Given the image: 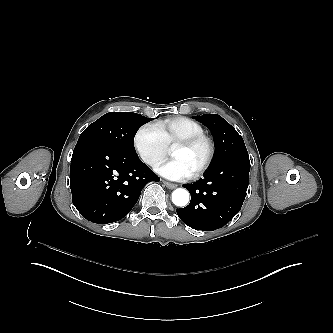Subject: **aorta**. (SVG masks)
I'll return each instance as SVG.
<instances>
[{
    "label": "aorta",
    "instance_id": "aorta-1",
    "mask_svg": "<svg viewBox=\"0 0 333 333\" xmlns=\"http://www.w3.org/2000/svg\"><path fill=\"white\" fill-rule=\"evenodd\" d=\"M172 202L174 205L184 207L189 202V192L183 188H177L172 192Z\"/></svg>",
    "mask_w": 333,
    "mask_h": 333
}]
</instances>
